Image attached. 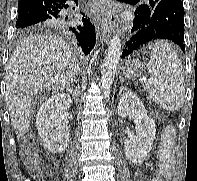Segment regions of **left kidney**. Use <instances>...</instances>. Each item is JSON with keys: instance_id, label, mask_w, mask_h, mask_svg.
<instances>
[{"instance_id": "left-kidney-1", "label": "left kidney", "mask_w": 197, "mask_h": 181, "mask_svg": "<svg viewBox=\"0 0 197 181\" xmlns=\"http://www.w3.org/2000/svg\"><path fill=\"white\" fill-rule=\"evenodd\" d=\"M118 114L122 118L134 116L136 120V134L124 142L125 156L134 164H140L148 156L156 135L153 118L147 115V110L138 96L133 92H126L120 99Z\"/></svg>"}]
</instances>
